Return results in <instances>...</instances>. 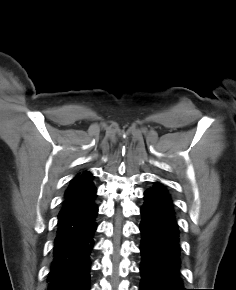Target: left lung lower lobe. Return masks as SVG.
<instances>
[{
	"label": "left lung lower lobe",
	"mask_w": 236,
	"mask_h": 290,
	"mask_svg": "<svg viewBox=\"0 0 236 290\" xmlns=\"http://www.w3.org/2000/svg\"><path fill=\"white\" fill-rule=\"evenodd\" d=\"M144 195L140 290H186L180 278L179 231L171 197L160 183Z\"/></svg>",
	"instance_id": "obj_1"
}]
</instances>
